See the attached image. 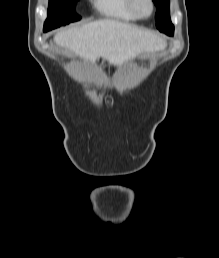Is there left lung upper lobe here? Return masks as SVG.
I'll use <instances>...</instances> for the list:
<instances>
[{"instance_id":"left-lung-upper-lobe-1","label":"left lung upper lobe","mask_w":219,"mask_h":258,"mask_svg":"<svg viewBox=\"0 0 219 258\" xmlns=\"http://www.w3.org/2000/svg\"><path fill=\"white\" fill-rule=\"evenodd\" d=\"M157 12L155 15L156 27L165 34L174 33V26L170 20V0H153Z\"/></svg>"}]
</instances>
